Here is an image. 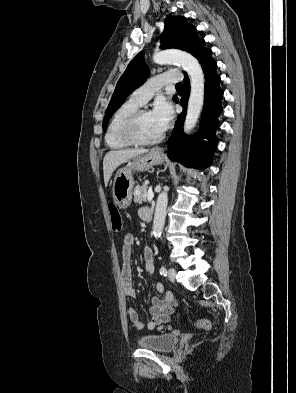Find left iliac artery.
<instances>
[{"instance_id": "1", "label": "left iliac artery", "mask_w": 296, "mask_h": 393, "mask_svg": "<svg viewBox=\"0 0 296 393\" xmlns=\"http://www.w3.org/2000/svg\"><path fill=\"white\" fill-rule=\"evenodd\" d=\"M160 274L163 275V276H167V269H166V267L162 266L160 268Z\"/></svg>"}]
</instances>
